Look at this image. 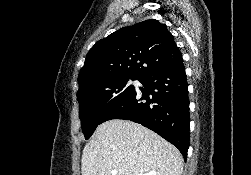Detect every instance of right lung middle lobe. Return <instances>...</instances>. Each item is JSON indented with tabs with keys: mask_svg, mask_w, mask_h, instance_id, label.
<instances>
[{
	"mask_svg": "<svg viewBox=\"0 0 251 175\" xmlns=\"http://www.w3.org/2000/svg\"><path fill=\"white\" fill-rule=\"evenodd\" d=\"M129 80L140 78L123 76L105 84L79 88V118L85 139H89L96 127L102 123L104 114L135 89L133 85H129Z\"/></svg>",
	"mask_w": 251,
	"mask_h": 175,
	"instance_id": "obj_1",
	"label": "right lung middle lobe"
}]
</instances>
